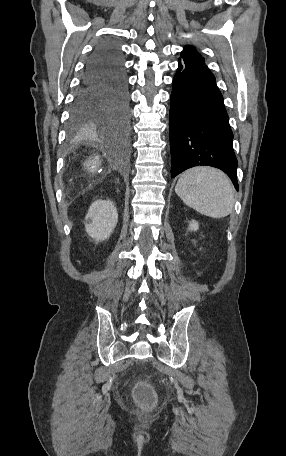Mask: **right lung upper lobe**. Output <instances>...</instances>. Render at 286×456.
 Masks as SVG:
<instances>
[{
	"label": "right lung upper lobe",
	"mask_w": 286,
	"mask_h": 456,
	"mask_svg": "<svg viewBox=\"0 0 286 456\" xmlns=\"http://www.w3.org/2000/svg\"><path fill=\"white\" fill-rule=\"evenodd\" d=\"M104 47H105V48H109V49H111V48H112L111 46H108V45H106V46H104Z\"/></svg>",
	"instance_id": "obj_1"
}]
</instances>
